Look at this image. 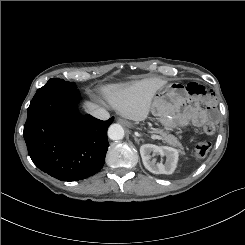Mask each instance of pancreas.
Here are the masks:
<instances>
[{
  "instance_id": "cf45deb5",
  "label": "pancreas",
  "mask_w": 245,
  "mask_h": 245,
  "mask_svg": "<svg viewBox=\"0 0 245 245\" xmlns=\"http://www.w3.org/2000/svg\"><path fill=\"white\" fill-rule=\"evenodd\" d=\"M152 132L159 133L161 135L160 137L164 143L171 145V146H174V147H177L179 149V151L181 152V154L185 155V152L183 151L182 143L179 142V140L175 136L168 134V133L164 132L163 130H159V129H153Z\"/></svg>"
}]
</instances>
